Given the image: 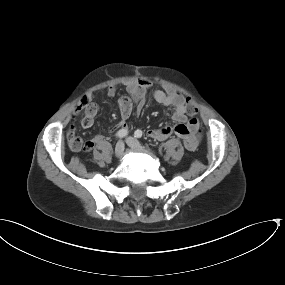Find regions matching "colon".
Here are the masks:
<instances>
[{
  "label": "colon",
  "instance_id": "5ec220e1",
  "mask_svg": "<svg viewBox=\"0 0 285 285\" xmlns=\"http://www.w3.org/2000/svg\"><path fill=\"white\" fill-rule=\"evenodd\" d=\"M90 105V100L87 97H83L79 101V108L84 109ZM187 112L189 115H195L197 113V106L194 102H189L187 104ZM72 142L76 149L81 150L85 149L88 146V141L79 136H72Z\"/></svg>",
  "mask_w": 285,
  "mask_h": 285
}]
</instances>
